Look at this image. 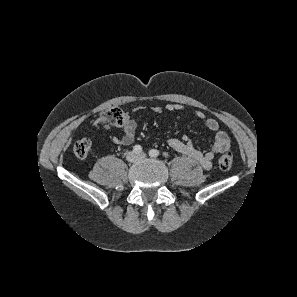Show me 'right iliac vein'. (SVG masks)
<instances>
[{
	"instance_id": "right-iliac-vein-1",
	"label": "right iliac vein",
	"mask_w": 297,
	"mask_h": 297,
	"mask_svg": "<svg viewBox=\"0 0 297 297\" xmlns=\"http://www.w3.org/2000/svg\"><path fill=\"white\" fill-rule=\"evenodd\" d=\"M126 159L129 162H135L138 159V156L134 151H131L126 154Z\"/></svg>"
}]
</instances>
